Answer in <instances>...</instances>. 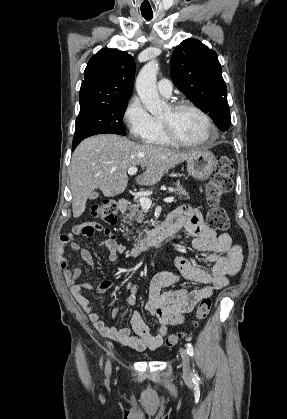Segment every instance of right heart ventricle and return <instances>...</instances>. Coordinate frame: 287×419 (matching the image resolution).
Returning <instances> with one entry per match:
<instances>
[{
  "label": "right heart ventricle",
  "instance_id": "e07e8e85",
  "mask_svg": "<svg viewBox=\"0 0 287 419\" xmlns=\"http://www.w3.org/2000/svg\"><path fill=\"white\" fill-rule=\"evenodd\" d=\"M146 143L157 145V146H167L171 143L165 138L161 123L159 120H156V129L153 134L145 140Z\"/></svg>",
  "mask_w": 287,
  "mask_h": 419
}]
</instances>
